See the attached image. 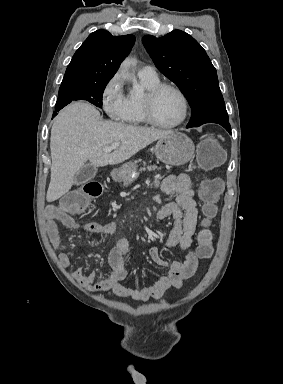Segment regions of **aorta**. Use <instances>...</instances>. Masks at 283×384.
Returning <instances> with one entry per match:
<instances>
[{
    "label": "aorta",
    "instance_id": "762f6f07",
    "mask_svg": "<svg viewBox=\"0 0 283 384\" xmlns=\"http://www.w3.org/2000/svg\"><path fill=\"white\" fill-rule=\"evenodd\" d=\"M133 63V60L132 59H126L123 63H122V67H123V74L124 76L126 77V72H127V69L128 67Z\"/></svg>",
    "mask_w": 283,
    "mask_h": 384
}]
</instances>
